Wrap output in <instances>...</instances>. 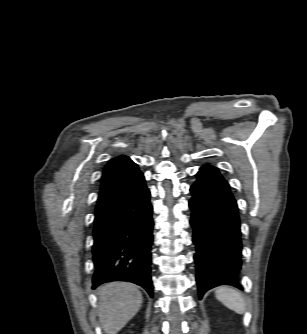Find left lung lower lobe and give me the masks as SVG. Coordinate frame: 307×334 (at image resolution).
I'll use <instances>...</instances> for the list:
<instances>
[{"mask_svg": "<svg viewBox=\"0 0 307 334\" xmlns=\"http://www.w3.org/2000/svg\"><path fill=\"white\" fill-rule=\"evenodd\" d=\"M191 186L190 224L194 230L199 297L219 285L242 289L241 232L238 207L229 184L217 168L204 165Z\"/></svg>", "mask_w": 307, "mask_h": 334, "instance_id": "0a47b994", "label": "left lung lower lobe"}]
</instances>
